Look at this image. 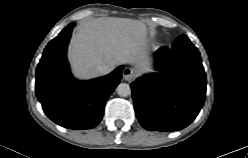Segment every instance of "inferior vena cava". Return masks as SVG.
Segmentation results:
<instances>
[{
    "label": "inferior vena cava",
    "instance_id": "1",
    "mask_svg": "<svg viewBox=\"0 0 248 158\" xmlns=\"http://www.w3.org/2000/svg\"><path fill=\"white\" fill-rule=\"evenodd\" d=\"M114 68L109 65H102L98 68V72L100 75H106L110 73Z\"/></svg>",
    "mask_w": 248,
    "mask_h": 158
}]
</instances>
